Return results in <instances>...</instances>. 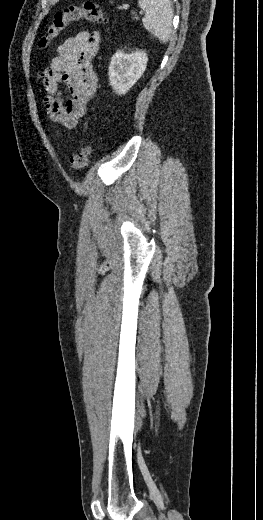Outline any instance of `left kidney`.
<instances>
[{"mask_svg": "<svg viewBox=\"0 0 263 520\" xmlns=\"http://www.w3.org/2000/svg\"><path fill=\"white\" fill-rule=\"evenodd\" d=\"M147 54L135 51L125 54L117 51L109 65V81L118 95H124L140 79L147 66Z\"/></svg>", "mask_w": 263, "mask_h": 520, "instance_id": "1", "label": "left kidney"}]
</instances>
